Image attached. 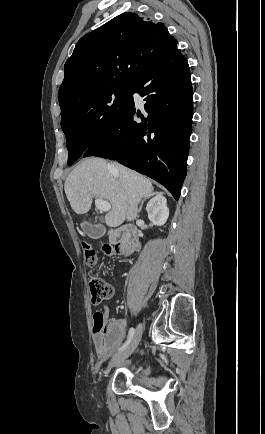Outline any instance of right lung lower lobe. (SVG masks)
<instances>
[{"label": "right lung lower lobe", "mask_w": 265, "mask_h": 434, "mask_svg": "<svg viewBox=\"0 0 265 434\" xmlns=\"http://www.w3.org/2000/svg\"><path fill=\"white\" fill-rule=\"evenodd\" d=\"M132 88L146 101L143 114L133 99L120 121L82 156L117 160L158 181L178 200L193 117L186 57L176 45L138 76Z\"/></svg>", "instance_id": "98d812e1"}]
</instances>
